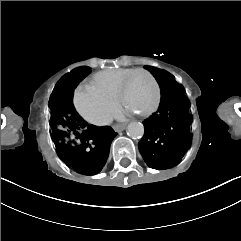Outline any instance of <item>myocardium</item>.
I'll return each mask as SVG.
<instances>
[{
	"mask_svg": "<svg viewBox=\"0 0 241 241\" xmlns=\"http://www.w3.org/2000/svg\"><path fill=\"white\" fill-rule=\"evenodd\" d=\"M143 76H145V78L148 80V82H150V84L154 85L153 89L154 91H156V95L153 98L154 101L152 102L151 106L148 109L142 111L141 113L142 117L145 118L147 117V115L151 114L156 110L159 104L158 102L164 93L163 88H161V85H162L161 82L154 79V77H152L147 70L143 68H136V69L128 70L126 73H124L122 77L119 79V82L116 84V98L119 102H124L126 98L124 97L123 92L125 90V87L128 85V82L130 80L136 79L138 77H143Z\"/></svg>",
	"mask_w": 241,
	"mask_h": 241,
	"instance_id": "obj_1",
	"label": "myocardium"
}]
</instances>
